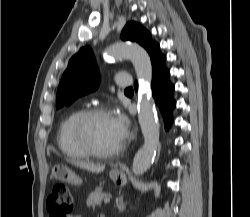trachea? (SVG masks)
I'll list each match as a JSON object with an SVG mask.
<instances>
[{
  "label": "trachea",
  "instance_id": "3493384b",
  "mask_svg": "<svg viewBox=\"0 0 250 217\" xmlns=\"http://www.w3.org/2000/svg\"><path fill=\"white\" fill-rule=\"evenodd\" d=\"M125 91H133L132 87L127 88Z\"/></svg>",
  "mask_w": 250,
  "mask_h": 217
}]
</instances>
